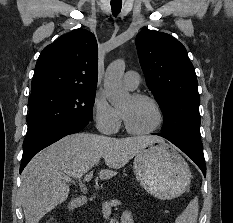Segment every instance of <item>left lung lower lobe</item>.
Returning a JSON list of instances; mask_svg holds the SVG:
<instances>
[{
  "label": "left lung lower lobe",
  "instance_id": "1",
  "mask_svg": "<svg viewBox=\"0 0 233 223\" xmlns=\"http://www.w3.org/2000/svg\"><path fill=\"white\" fill-rule=\"evenodd\" d=\"M156 135L162 136L180 148L186 155H188L201 169L204 177H206V165L203 154V144L201 141L171 138L157 133Z\"/></svg>",
  "mask_w": 233,
  "mask_h": 223
}]
</instances>
